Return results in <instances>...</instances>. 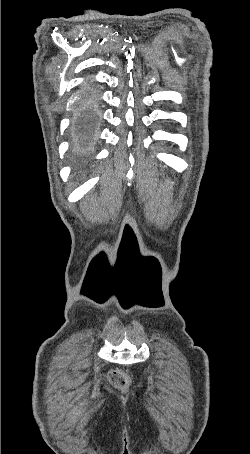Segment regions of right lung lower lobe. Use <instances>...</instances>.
Masks as SVG:
<instances>
[{
	"label": "right lung lower lobe",
	"instance_id": "right-lung-lower-lobe-1",
	"mask_svg": "<svg viewBox=\"0 0 250 454\" xmlns=\"http://www.w3.org/2000/svg\"><path fill=\"white\" fill-rule=\"evenodd\" d=\"M101 124L100 96L97 89L90 83H84L72 120V127L79 140L86 145L98 139Z\"/></svg>",
	"mask_w": 250,
	"mask_h": 454
}]
</instances>
